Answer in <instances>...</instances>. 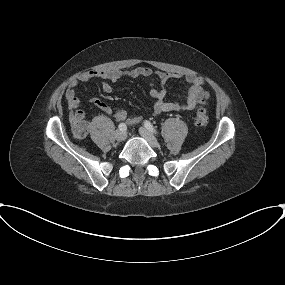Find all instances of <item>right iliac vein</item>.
I'll use <instances>...</instances> for the list:
<instances>
[{
	"instance_id": "obj_1",
	"label": "right iliac vein",
	"mask_w": 285,
	"mask_h": 285,
	"mask_svg": "<svg viewBox=\"0 0 285 285\" xmlns=\"http://www.w3.org/2000/svg\"><path fill=\"white\" fill-rule=\"evenodd\" d=\"M127 137V134L125 131L117 130L115 132V139L119 142L124 141Z\"/></svg>"
}]
</instances>
